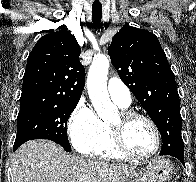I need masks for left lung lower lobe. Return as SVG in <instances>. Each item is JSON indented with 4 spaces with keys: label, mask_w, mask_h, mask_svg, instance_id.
Returning <instances> with one entry per match:
<instances>
[{
    "label": "left lung lower lobe",
    "mask_w": 196,
    "mask_h": 182,
    "mask_svg": "<svg viewBox=\"0 0 196 182\" xmlns=\"http://www.w3.org/2000/svg\"><path fill=\"white\" fill-rule=\"evenodd\" d=\"M168 154H165V155H171L177 159H179L181 161V163L185 166V163H184V155L182 153H179L177 151H174V152H167ZM161 154V153H160ZM162 155V154H161Z\"/></svg>",
    "instance_id": "0a47b994"
}]
</instances>
